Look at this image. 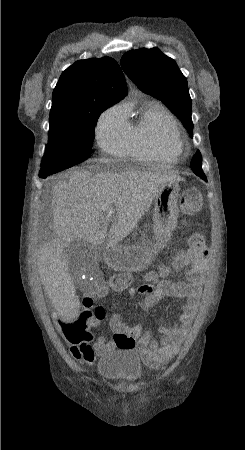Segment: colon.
<instances>
[{
	"mask_svg": "<svg viewBox=\"0 0 245 450\" xmlns=\"http://www.w3.org/2000/svg\"><path fill=\"white\" fill-rule=\"evenodd\" d=\"M180 205L185 214L198 213L203 206V199L199 190L188 189L184 191ZM186 240L191 250L208 255L205 239L201 233L192 232L186 236ZM131 281V274L127 271H122L113 273L105 280V283L110 288H121L125 287ZM104 317L105 311L102 308L93 304L90 299H85L81 313L77 317L63 321L61 329L68 338L76 343H87L93 338L92 328L97 323L103 321ZM140 332V327L136 325L129 333H118L116 337L122 346L130 347L134 345Z\"/></svg>",
	"mask_w": 245,
	"mask_h": 450,
	"instance_id": "colon-1",
	"label": "colon"
}]
</instances>
